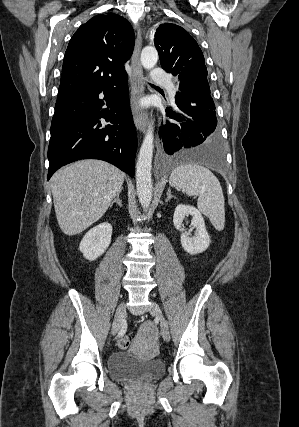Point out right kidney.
Returning <instances> with one entry per match:
<instances>
[{
    "label": "right kidney",
    "instance_id": "obj_1",
    "mask_svg": "<svg viewBox=\"0 0 299 427\" xmlns=\"http://www.w3.org/2000/svg\"><path fill=\"white\" fill-rule=\"evenodd\" d=\"M112 226L108 222H103L90 229L83 237L79 250L84 258L90 261L101 256L111 242Z\"/></svg>",
    "mask_w": 299,
    "mask_h": 427
}]
</instances>
